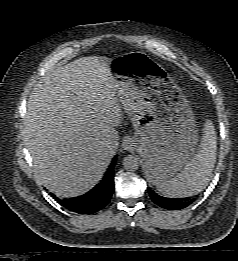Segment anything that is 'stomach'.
Returning a JSON list of instances; mask_svg holds the SVG:
<instances>
[{"mask_svg": "<svg viewBox=\"0 0 238 261\" xmlns=\"http://www.w3.org/2000/svg\"><path fill=\"white\" fill-rule=\"evenodd\" d=\"M115 91L133 123V146L151 181L172 178L195 152L194 113L181 88L163 68L143 54L122 55L109 65Z\"/></svg>", "mask_w": 238, "mask_h": 261, "instance_id": "obj_1", "label": "stomach"}]
</instances>
